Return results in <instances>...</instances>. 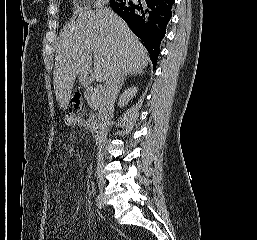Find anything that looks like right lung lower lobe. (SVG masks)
I'll use <instances>...</instances> for the list:
<instances>
[{"mask_svg":"<svg viewBox=\"0 0 257 240\" xmlns=\"http://www.w3.org/2000/svg\"><path fill=\"white\" fill-rule=\"evenodd\" d=\"M175 0H113V10L129 25L150 54L154 68L160 53V43L171 18Z\"/></svg>","mask_w":257,"mask_h":240,"instance_id":"98d812e1","label":"right lung lower lobe"}]
</instances>
